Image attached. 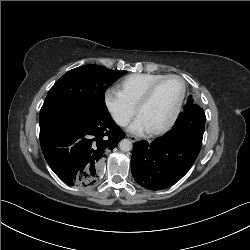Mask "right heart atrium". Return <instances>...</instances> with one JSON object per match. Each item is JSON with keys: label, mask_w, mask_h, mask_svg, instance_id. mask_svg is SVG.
Masks as SVG:
<instances>
[{"label": "right heart atrium", "mask_w": 250, "mask_h": 250, "mask_svg": "<svg viewBox=\"0 0 250 250\" xmlns=\"http://www.w3.org/2000/svg\"><path fill=\"white\" fill-rule=\"evenodd\" d=\"M104 103L112 119L119 126H126L136 114V106L116 89H108L105 92Z\"/></svg>", "instance_id": "right-heart-atrium-1"}]
</instances>
